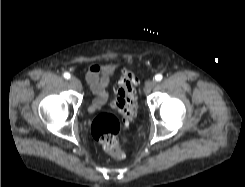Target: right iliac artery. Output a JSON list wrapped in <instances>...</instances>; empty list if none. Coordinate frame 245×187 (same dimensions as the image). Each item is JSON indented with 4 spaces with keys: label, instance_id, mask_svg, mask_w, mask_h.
<instances>
[{
    "label": "right iliac artery",
    "instance_id": "right-iliac-artery-1",
    "mask_svg": "<svg viewBox=\"0 0 245 187\" xmlns=\"http://www.w3.org/2000/svg\"><path fill=\"white\" fill-rule=\"evenodd\" d=\"M63 76L65 79H69L71 77V75L68 72H65Z\"/></svg>",
    "mask_w": 245,
    "mask_h": 187
}]
</instances>
